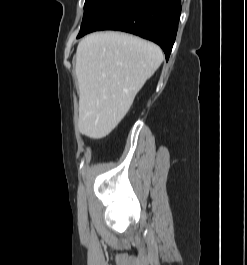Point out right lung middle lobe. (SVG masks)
I'll list each match as a JSON object with an SVG mask.
<instances>
[{
  "instance_id": "1",
  "label": "right lung middle lobe",
  "mask_w": 247,
  "mask_h": 265,
  "mask_svg": "<svg viewBox=\"0 0 247 265\" xmlns=\"http://www.w3.org/2000/svg\"><path fill=\"white\" fill-rule=\"evenodd\" d=\"M100 0H86L84 5V16L83 19L90 13V11L95 7V5Z\"/></svg>"
}]
</instances>
